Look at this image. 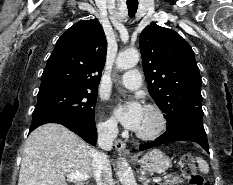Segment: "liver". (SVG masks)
<instances>
[{
	"mask_svg": "<svg viewBox=\"0 0 233 185\" xmlns=\"http://www.w3.org/2000/svg\"><path fill=\"white\" fill-rule=\"evenodd\" d=\"M94 152L66 127L55 123L42 125L25 142L18 185H67L65 175L71 173L91 178Z\"/></svg>",
	"mask_w": 233,
	"mask_h": 185,
	"instance_id": "1",
	"label": "liver"
}]
</instances>
